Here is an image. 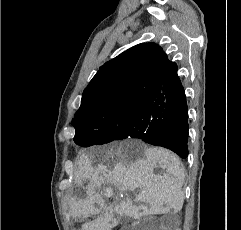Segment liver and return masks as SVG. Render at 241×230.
Listing matches in <instances>:
<instances>
[{
  "instance_id": "obj_1",
  "label": "liver",
  "mask_w": 241,
  "mask_h": 230,
  "mask_svg": "<svg viewBox=\"0 0 241 230\" xmlns=\"http://www.w3.org/2000/svg\"><path fill=\"white\" fill-rule=\"evenodd\" d=\"M144 158H135L140 151ZM104 159H94L84 154L79 162L78 184L87 183L86 198L67 201L69 217H88L99 210L95 203L101 205L104 213L92 222L82 226V230H110L114 224L112 209L104 204L98 189L105 183L113 184L121 192L140 189L135 202L130 198L119 205L120 216L137 219L148 214H163L182 209L184 193V170L180 159L171 151L162 148H148L138 141H125L104 152ZM159 166L162 174H155ZM111 222V223H110Z\"/></svg>"
}]
</instances>
